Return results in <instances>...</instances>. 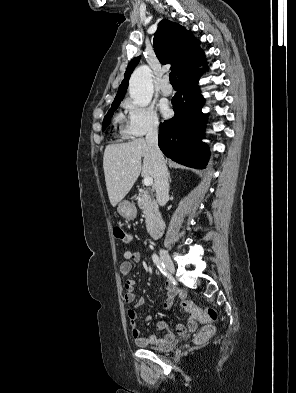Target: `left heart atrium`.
<instances>
[{
  "instance_id": "1",
  "label": "left heart atrium",
  "mask_w": 296,
  "mask_h": 393,
  "mask_svg": "<svg viewBox=\"0 0 296 393\" xmlns=\"http://www.w3.org/2000/svg\"><path fill=\"white\" fill-rule=\"evenodd\" d=\"M161 111H162V113H163L165 116H168V115H169V112H170V109H169V107H168L167 105H162V106H161Z\"/></svg>"
}]
</instances>
